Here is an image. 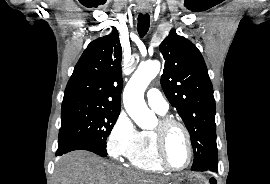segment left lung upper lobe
<instances>
[{"label": "left lung upper lobe", "instance_id": "5c2ea615", "mask_svg": "<svg viewBox=\"0 0 270 184\" xmlns=\"http://www.w3.org/2000/svg\"><path fill=\"white\" fill-rule=\"evenodd\" d=\"M165 60L161 85L191 136L192 170L218 164L215 100L204 59L188 39L171 30L160 44Z\"/></svg>", "mask_w": 270, "mask_h": 184}]
</instances>
